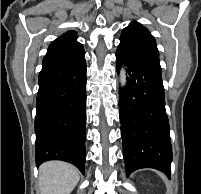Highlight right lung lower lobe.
<instances>
[{
    "instance_id": "obj_1",
    "label": "right lung lower lobe",
    "mask_w": 201,
    "mask_h": 194,
    "mask_svg": "<svg viewBox=\"0 0 201 194\" xmlns=\"http://www.w3.org/2000/svg\"><path fill=\"white\" fill-rule=\"evenodd\" d=\"M86 62L45 67L36 100V164L63 160L85 171Z\"/></svg>"
}]
</instances>
